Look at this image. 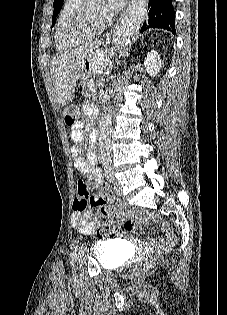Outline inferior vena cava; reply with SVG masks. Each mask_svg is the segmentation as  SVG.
Segmentation results:
<instances>
[{
    "mask_svg": "<svg viewBox=\"0 0 227 315\" xmlns=\"http://www.w3.org/2000/svg\"><path fill=\"white\" fill-rule=\"evenodd\" d=\"M103 163L105 164V166L109 167L110 166V161H103Z\"/></svg>",
    "mask_w": 227,
    "mask_h": 315,
    "instance_id": "obj_1",
    "label": "inferior vena cava"
}]
</instances>
